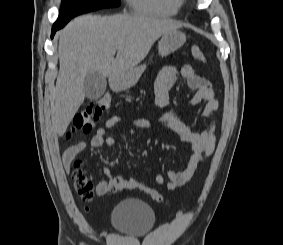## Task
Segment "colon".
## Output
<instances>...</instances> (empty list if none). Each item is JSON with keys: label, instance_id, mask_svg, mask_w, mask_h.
<instances>
[{"label": "colon", "instance_id": "obj_1", "mask_svg": "<svg viewBox=\"0 0 283 245\" xmlns=\"http://www.w3.org/2000/svg\"><path fill=\"white\" fill-rule=\"evenodd\" d=\"M192 57L200 62H205V56L202 50L198 46H193L191 48ZM111 107V97L108 95L103 96L102 98L96 100L95 102L88 105L85 109L75 115L72 123V131L88 133L93 128L94 124L100 118V116L107 112ZM69 134L68 136H70ZM79 163L76 162L75 166H78ZM74 187L79 194V196L85 200L89 201L94 195V186L92 181L82 174L81 171H76L73 174ZM139 189L147 194L153 201L162 202V195L155 189L149 188L142 183L138 182L135 179H125L122 177H114L109 182V191L117 192L121 190H133Z\"/></svg>", "mask_w": 283, "mask_h": 245}]
</instances>
